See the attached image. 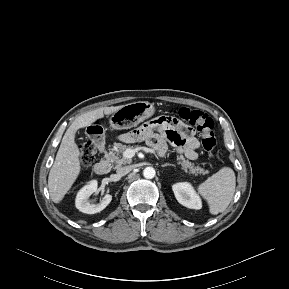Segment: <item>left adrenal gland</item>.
Masks as SVG:
<instances>
[{
  "label": "left adrenal gland",
  "instance_id": "left-adrenal-gland-1",
  "mask_svg": "<svg viewBox=\"0 0 289 289\" xmlns=\"http://www.w3.org/2000/svg\"><path fill=\"white\" fill-rule=\"evenodd\" d=\"M162 167H165V166H173V167H175V165L174 164H169V163H165V164H163V165H161Z\"/></svg>",
  "mask_w": 289,
  "mask_h": 289
}]
</instances>
